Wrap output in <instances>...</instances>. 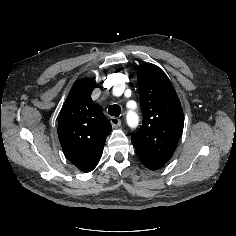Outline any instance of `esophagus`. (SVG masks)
<instances>
[{
  "mask_svg": "<svg viewBox=\"0 0 236 236\" xmlns=\"http://www.w3.org/2000/svg\"><path fill=\"white\" fill-rule=\"evenodd\" d=\"M110 122L113 127H119L121 125V120L117 117H111Z\"/></svg>",
  "mask_w": 236,
  "mask_h": 236,
  "instance_id": "esophagus-1",
  "label": "esophagus"
}]
</instances>
